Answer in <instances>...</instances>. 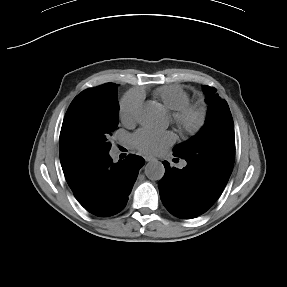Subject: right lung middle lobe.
Returning a JSON list of instances; mask_svg holds the SVG:
<instances>
[{"mask_svg":"<svg viewBox=\"0 0 287 287\" xmlns=\"http://www.w3.org/2000/svg\"><path fill=\"white\" fill-rule=\"evenodd\" d=\"M117 87L90 88L70 104L60 132L65 177L109 153L108 139L118 126Z\"/></svg>","mask_w":287,"mask_h":287,"instance_id":"obj_1","label":"right lung middle lobe"}]
</instances>
